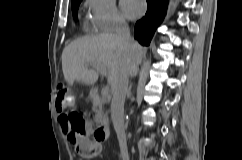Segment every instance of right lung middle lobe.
Returning a JSON list of instances; mask_svg holds the SVG:
<instances>
[{
    "label": "right lung middle lobe",
    "mask_w": 242,
    "mask_h": 160,
    "mask_svg": "<svg viewBox=\"0 0 242 160\" xmlns=\"http://www.w3.org/2000/svg\"><path fill=\"white\" fill-rule=\"evenodd\" d=\"M82 0H74L72 1V12H73V16L76 17L77 16V10L79 7V4Z\"/></svg>",
    "instance_id": "obj_1"
}]
</instances>
